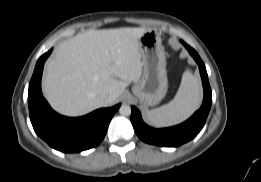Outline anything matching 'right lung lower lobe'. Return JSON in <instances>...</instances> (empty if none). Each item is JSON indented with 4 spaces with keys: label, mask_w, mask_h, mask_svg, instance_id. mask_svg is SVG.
<instances>
[{
    "label": "right lung lower lobe",
    "mask_w": 261,
    "mask_h": 182,
    "mask_svg": "<svg viewBox=\"0 0 261 182\" xmlns=\"http://www.w3.org/2000/svg\"><path fill=\"white\" fill-rule=\"evenodd\" d=\"M51 52L52 49L39 58L29 84L28 106L32 126L45 142L61 152L93 148L103 140L120 104L78 118L64 117L53 111L41 92L43 66Z\"/></svg>",
    "instance_id": "right-lung-lower-lobe-1"
}]
</instances>
